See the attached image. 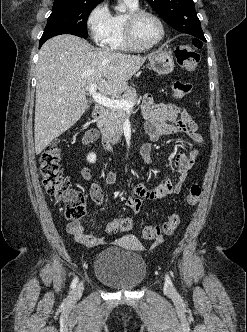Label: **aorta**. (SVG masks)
<instances>
[{"instance_id":"762f6f07","label":"aorta","mask_w":247,"mask_h":332,"mask_svg":"<svg viewBox=\"0 0 247 332\" xmlns=\"http://www.w3.org/2000/svg\"><path fill=\"white\" fill-rule=\"evenodd\" d=\"M116 10L120 11V12H125L126 11V7L124 5H120L115 7Z\"/></svg>"}]
</instances>
